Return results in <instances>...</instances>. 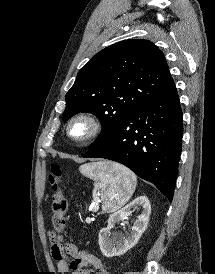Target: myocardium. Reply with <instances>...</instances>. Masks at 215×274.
<instances>
[{"instance_id":"1","label":"myocardium","mask_w":215,"mask_h":274,"mask_svg":"<svg viewBox=\"0 0 215 274\" xmlns=\"http://www.w3.org/2000/svg\"><path fill=\"white\" fill-rule=\"evenodd\" d=\"M82 123L86 126V132L82 136L72 135V128L75 124ZM102 123L90 113H78L72 116L66 123V136L73 142L84 144L97 138L102 132Z\"/></svg>"}]
</instances>
